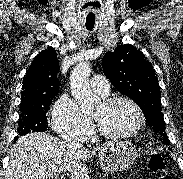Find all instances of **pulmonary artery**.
Segmentation results:
<instances>
[{
    "instance_id": "1",
    "label": "pulmonary artery",
    "mask_w": 183,
    "mask_h": 179,
    "mask_svg": "<svg viewBox=\"0 0 183 179\" xmlns=\"http://www.w3.org/2000/svg\"><path fill=\"white\" fill-rule=\"evenodd\" d=\"M92 89L101 96H107L109 93L108 80L102 75H94L91 79Z\"/></svg>"
}]
</instances>
